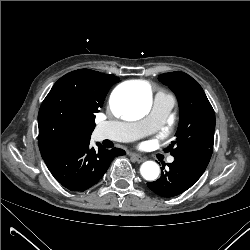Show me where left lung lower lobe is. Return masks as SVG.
Instances as JSON below:
<instances>
[{"mask_svg": "<svg viewBox=\"0 0 250 250\" xmlns=\"http://www.w3.org/2000/svg\"><path fill=\"white\" fill-rule=\"evenodd\" d=\"M212 152L213 149L191 150L174 156V162L167 164L169 170L162 171L157 181L148 182V187L162 197L183 193L201 177Z\"/></svg>", "mask_w": 250, "mask_h": 250, "instance_id": "left-lung-lower-lobe-1", "label": "left lung lower lobe"}]
</instances>
